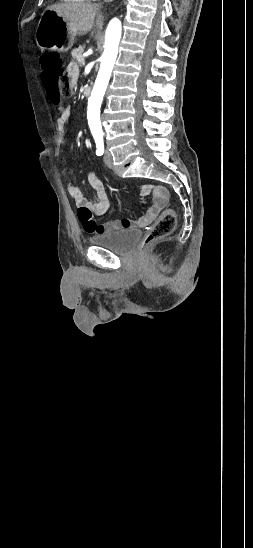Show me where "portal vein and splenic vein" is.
<instances>
[{"label": "portal vein and splenic vein", "mask_w": 253, "mask_h": 548, "mask_svg": "<svg viewBox=\"0 0 253 548\" xmlns=\"http://www.w3.org/2000/svg\"><path fill=\"white\" fill-rule=\"evenodd\" d=\"M80 63L84 64L85 60L84 58L82 57L80 60H79Z\"/></svg>", "instance_id": "18ae733b"}]
</instances>
